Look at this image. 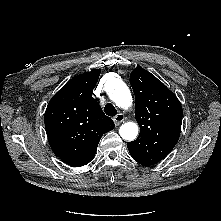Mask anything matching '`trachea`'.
<instances>
[{
	"instance_id": "obj_1",
	"label": "trachea",
	"mask_w": 221,
	"mask_h": 221,
	"mask_svg": "<svg viewBox=\"0 0 221 221\" xmlns=\"http://www.w3.org/2000/svg\"><path fill=\"white\" fill-rule=\"evenodd\" d=\"M104 111L108 116H115L117 114L116 108L111 103L105 106Z\"/></svg>"
}]
</instances>
